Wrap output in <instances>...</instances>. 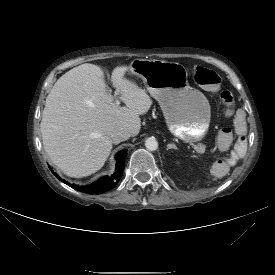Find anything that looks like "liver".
<instances>
[{
    "mask_svg": "<svg viewBox=\"0 0 275 275\" xmlns=\"http://www.w3.org/2000/svg\"><path fill=\"white\" fill-rule=\"evenodd\" d=\"M128 70L117 66L111 75L124 107L108 93L101 67L90 63L69 70L51 89L40 124L43 146L50 161L67 176L80 178L100 170L111 152L114 130L139 134V115L149 111L152 100L125 78Z\"/></svg>",
    "mask_w": 275,
    "mask_h": 275,
    "instance_id": "obj_1",
    "label": "liver"
}]
</instances>
